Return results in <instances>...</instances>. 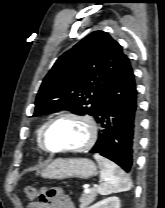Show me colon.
<instances>
[{
    "instance_id": "obj_1",
    "label": "colon",
    "mask_w": 165,
    "mask_h": 208,
    "mask_svg": "<svg viewBox=\"0 0 165 208\" xmlns=\"http://www.w3.org/2000/svg\"><path fill=\"white\" fill-rule=\"evenodd\" d=\"M25 194L27 200L30 202H35L34 200L39 197L38 190L35 187H26L25 188Z\"/></svg>"
}]
</instances>
